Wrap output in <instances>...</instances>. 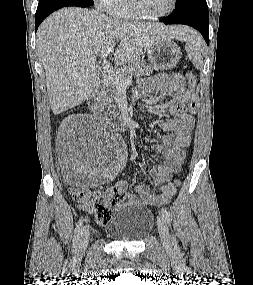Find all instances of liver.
Segmentation results:
<instances>
[{
	"label": "liver",
	"instance_id": "6515ba94",
	"mask_svg": "<svg viewBox=\"0 0 253 285\" xmlns=\"http://www.w3.org/2000/svg\"><path fill=\"white\" fill-rule=\"evenodd\" d=\"M192 31L182 26L119 21L96 10L59 9L37 32L53 113L58 115L88 99L99 81L96 56L102 57L111 45L119 42L114 62L124 65L137 61L155 43L185 41Z\"/></svg>",
	"mask_w": 253,
	"mask_h": 285
}]
</instances>
